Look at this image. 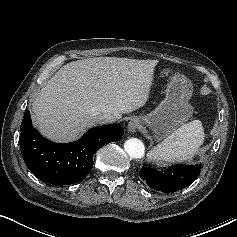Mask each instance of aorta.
Wrapping results in <instances>:
<instances>
[{
  "instance_id": "aorta-1",
  "label": "aorta",
  "mask_w": 237,
  "mask_h": 237,
  "mask_svg": "<svg viewBox=\"0 0 237 237\" xmlns=\"http://www.w3.org/2000/svg\"><path fill=\"white\" fill-rule=\"evenodd\" d=\"M124 150L130 157L135 159L142 158L145 153L143 142L137 138L128 139L124 143Z\"/></svg>"
}]
</instances>
